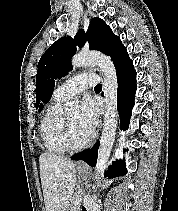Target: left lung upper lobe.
Listing matches in <instances>:
<instances>
[{
  "instance_id": "left-lung-upper-lobe-1",
  "label": "left lung upper lobe",
  "mask_w": 178,
  "mask_h": 211,
  "mask_svg": "<svg viewBox=\"0 0 178 211\" xmlns=\"http://www.w3.org/2000/svg\"><path fill=\"white\" fill-rule=\"evenodd\" d=\"M86 39L90 43V49L110 56L114 65L127 53L120 38L113 34L110 27L102 19L93 18L86 34L84 30H80L74 38L58 39L40 58L36 75V107L46 85L49 82L54 85L55 79L65 76L72 69L70 60L76 53V47H82Z\"/></svg>"
}]
</instances>
